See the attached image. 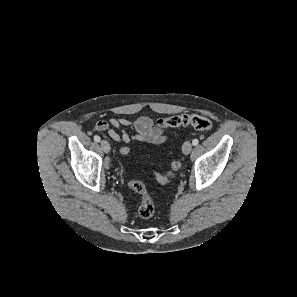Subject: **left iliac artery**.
<instances>
[{
	"mask_svg": "<svg viewBox=\"0 0 297 297\" xmlns=\"http://www.w3.org/2000/svg\"><path fill=\"white\" fill-rule=\"evenodd\" d=\"M198 143H199L198 139H193V140H192V144H193L194 146L198 145Z\"/></svg>",
	"mask_w": 297,
	"mask_h": 297,
	"instance_id": "left-iliac-artery-1",
	"label": "left iliac artery"
}]
</instances>
